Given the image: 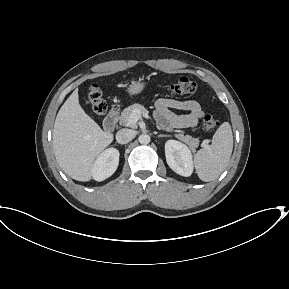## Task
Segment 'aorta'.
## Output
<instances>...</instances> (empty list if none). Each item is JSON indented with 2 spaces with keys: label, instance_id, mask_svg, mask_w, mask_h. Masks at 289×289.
Returning a JSON list of instances; mask_svg holds the SVG:
<instances>
[{
  "label": "aorta",
  "instance_id": "1",
  "mask_svg": "<svg viewBox=\"0 0 289 289\" xmlns=\"http://www.w3.org/2000/svg\"><path fill=\"white\" fill-rule=\"evenodd\" d=\"M138 140L141 144H144V145L149 144L151 141L150 136L148 134H141Z\"/></svg>",
  "mask_w": 289,
  "mask_h": 289
}]
</instances>
